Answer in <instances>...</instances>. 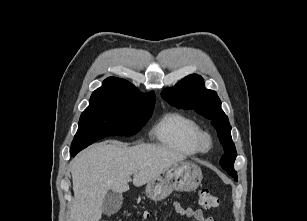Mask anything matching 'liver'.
I'll list each match as a JSON object with an SVG mask.
<instances>
[{"instance_id":"obj_1","label":"liver","mask_w":307,"mask_h":221,"mask_svg":"<svg viewBox=\"0 0 307 221\" xmlns=\"http://www.w3.org/2000/svg\"><path fill=\"white\" fill-rule=\"evenodd\" d=\"M186 157L169 148L139 144L131 147L119 143H98L78 154L71 162L74 201L71 221H99L109 190L122 194L128 181L142 186L163 170Z\"/></svg>"}]
</instances>
